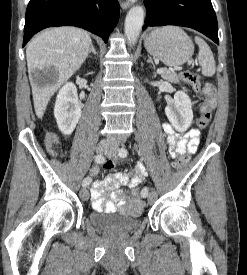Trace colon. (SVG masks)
<instances>
[{"mask_svg":"<svg viewBox=\"0 0 247 275\" xmlns=\"http://www.w3.org/2000/svg\"><path fill=\"white\" fill-rule=\"evenodd\" d=\"M181 79L189 84L196 92L201 93L204 99L200 106V116L197 119V126L200 129L206 128L211 121L213 110L216 106V88L213 84L208 82H202L201 77L191 71H182L180 74ZM57 139L54 135L50 134L47 136V142L49 144L56 143ZM189 155H182L174 160L173 167L175 169L183 168L189 161ZM106 168L110 169L113 167L112 162H106L104 165ZM143 190L139 187L132 189V197L141 201L143 196Z\"/></svg>","mask_w":247,"mask_h":275,"instance_id":"5ec220e1","label":"colon"}]
</instances>
